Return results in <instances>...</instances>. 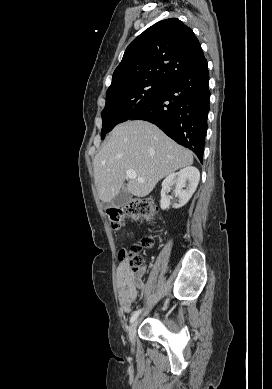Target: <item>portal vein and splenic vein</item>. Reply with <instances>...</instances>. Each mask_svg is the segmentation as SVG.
Instances as JSON below:
<instances>
[{
    "label": "portal vein and splenic vein",
    "instance_id": "portal-vein-and-splenic-vein-1",
    "mask_svg": "<svg viewBox=\"0 0 272 389\" xmlns=\"http://www.w3.org/2000/svg\"><path fill=\"white\" fill-rule=\"evenodd\" d=\"M125 173L129 179H136L137 178V174L134 170H126ZM137 180L139 182H144V179H142V178H138Z\"/></svg>",
    "mask_w": 272,
    "mask_h": 389
}]
</instances>
